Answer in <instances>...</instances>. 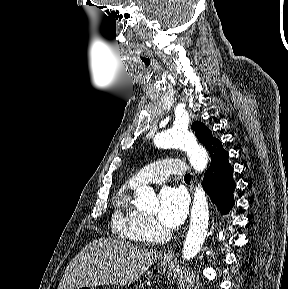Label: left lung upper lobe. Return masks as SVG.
<instances>
[{
    "label": "left lung upper lobe",
    "instance_id": "5c2ea615",
    "mask_svg": "<svg viewBox=\"0 0 288 289\" xmlns=\"http://www.w3.org/2000/svg\"><path fill=\"white\" fill-rule=\"evenodd\" d=\"M191 128L195 132L196 137L198 140L206 147L209 151L213 145L219 141L218 139L212 136L211 131L201 122H194L191 125Z\"/></svg>",
    "mask_w": 288,
    "mask_h": 289
}]
</instances>
